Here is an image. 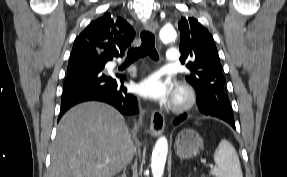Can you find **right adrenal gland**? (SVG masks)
Here are the masks:
<instances>
[{"mask_svg":"<svg viewBox=\"0 0 287 177\" xmlns=\"http://www.w3.org/2000/svg\"><path fill=\"white\" fill-rule=\"evenodd\" d=\"M126 168H127V167H124V169H123V174H122V175H119L118 177H127V176H126Z\"/></svg>","mask_w":287,"mask_h":177,"instance_id":"1","label":"right adrenal gland"}]
</instances>
